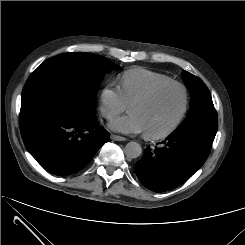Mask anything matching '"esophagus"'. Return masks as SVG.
<instances>
[{
  "label": "esophagus",
  "mask_w": 245,
  "mask_h": 245,
  "mask_svg": "<svg viewBox=\"0 0 245 245\" xmlns=\"http://www.w3.org/2000/svg\"><path fill=\"white\" fill-rule=\"evenodd\" d=\"M110 138L112 140H115V141H126L127 140L125 137H122V136H119V135H115V134H111Z\"/></svg>",
  "instance_id": "1"
}]
</instances>
